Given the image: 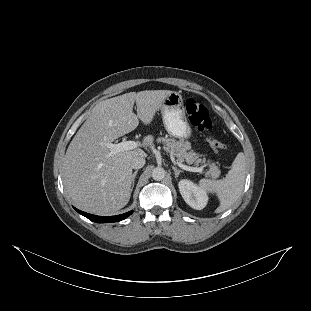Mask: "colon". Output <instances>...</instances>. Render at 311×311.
Segmentation results:
<instances>
[{
  "label": "colon",
  "mask_w": 311,
  "mask_h": 311,
  "mask_svg": "<svg viewBox=\"0 0 311 311\" xmlns=\"http://www.w3.org/2000/svg\"><path fill=\"white\" fill-rule=\"evenodd\" d=\"M185 109L191 123L207 136L210 147L217 153L221 152L225 146L211 134L212 120L208 109L199 101L189 98L185 101Z\"/></svg>",
  "instance_id": "1"
}]
</instances>
